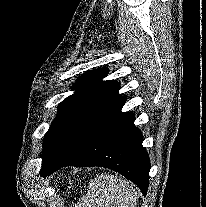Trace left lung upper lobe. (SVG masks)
Masks as SVG:
<instances>
[{"label":"left lung upper lobe","mask_w":206,"mask_h":207,"mask_svg":"<svg viewBox=\"0 0 206 207\" xmlns=\"http://www.w3.org/2000/svg\"><path fill=\"white\" fill-rule=\"evenodd\" d=\"M107 74V68H100L79 76L72 87L74 94L57 107V116L43 140L42 176L54 163L71 157L95 123L122 97L117 81L102 80Z\"/></svg>","instance_id":"obj_1"}]
</instances>
